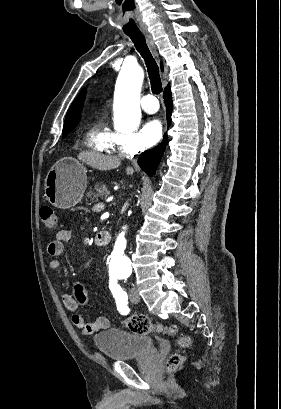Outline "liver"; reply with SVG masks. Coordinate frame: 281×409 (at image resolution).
Returning a JSON list of instances; mask_svg holds the SVG:
<instances>
[{
	"mask_svg": "<svg viewBox=\"0 0 281 409\" xmlns=\"http://www.w3.org/2000/svg\"><path fill=\"white\" fill-rule=\"evenodd\" d=\"M79 160L86 162L92 168H98V170H110V168H117L121 164V158L114 156V154H101L97 150H82L78 154ZM134 170L132 166H127L126 174H133Z\"/></svg>",
	"mask_w": 281,
	"mask_h": 409,
	"instance_id": "obj_1",
	"label": "liver"
}]
</instances>
